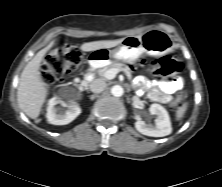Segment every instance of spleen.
<instances>
[{
  "label": "spleen",
  "mask_w": 222,
  "mask_h": 187,
  "mask_svg": "<svg viewBox=\"0 0 222 187\" xmlns=\"http://www.w3.org/2000/svg\"><path fill=\"white\" fill-rule=\"evenodd\" d=\"M186 110H187V104L184 103L176 111V120H181L184 117Z\"/></svg>",
  "instance_id": "spleen-1"
}]
</instances>
